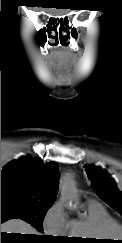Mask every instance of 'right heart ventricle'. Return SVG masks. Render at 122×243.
Segmentation results:
<instances>
[{"mask_svg": "<svg viewBox=\"0 0 122 243\" xmlns=\"http://www.w3.org/2000/svg\"><path fill=\"white\" fill-rule=\"evenodd\" d=\"M112 222H114L112 216L102 204L89 201L81 218L68 221L66 235L76 239H108L106 226Z\"/></svg>", "mask_w": 122, "mask_h": 243, "instance_id": "e07e8e85", "label": "right heart ventricle"}]
</instances>
